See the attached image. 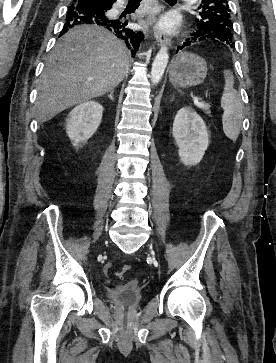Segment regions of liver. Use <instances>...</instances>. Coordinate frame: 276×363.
<instances>
[{"mask_svg":"<svg viewBox=\"0 0 276 363\" xmlns=\"http://www.w3.org/2000/svg\"><path fill=\"white\" fill-rule=\"evenodd\" d=\"M129 71L125 44L96 25L75 26L52 49L38 84L37 116L46 122L117 87Z\"/></svg>","mask_w":276,"mask_h":363,"instance_id":"1","label":"liver"}]
</instances>
